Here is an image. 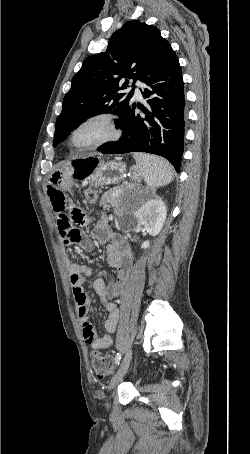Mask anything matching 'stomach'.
<instances>
[{
	"instance_id": "stomach-1",
	"label": "stomach",
	"mask_w": 250,
	"mask_h": 454,
	"mask_svg": "<svg viewBox=\"0 0 250 454\" xmlns=\"http://www.w3.org/2000/svg\"><path fill=\"white\" fill-rule=\"evenodd\" d=\"M125 171L126 166L124 163L117 160L103 161L97 157L77 160L73 167V173L76 178L83 179L95 186L117 183L123 178ZM51 176H55V173ZM58 176L61 175L58 174ZM132 177L137 180L141 177V174L135 169Z\"/></svg>"
}]
</instances>
